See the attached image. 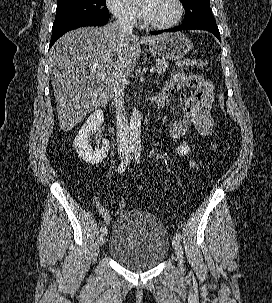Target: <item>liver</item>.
<instances>
[{
	"mask_svg": "<svg viewBox=\"0 0 272 303\" xmlns=\"http://www.w3.org/2000/svg\"><path fill=\"white\" fill-rule=\"evenodd\" d=\"M166 34L122 36L114 23L63 35L50 50V72L60 128L66 132L114 95L119 70L128 76L141 54Z\"/></svg>",
	"mask_w": 272,
	"mask_h": 303,
	"instance_id": "obj_1",
	"label": "liver"
}]
</instances>
